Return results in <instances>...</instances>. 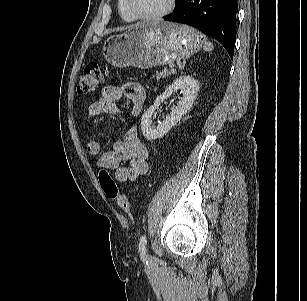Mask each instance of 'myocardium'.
<instances>
[{"instance_id":"obj_1","label":"myocardium","mask_w":307,"mask_h":301,"mask_svg":"<svg viewBox=\"0 0 307 301\" xmlns=\"http://www.w3.org/2000/svg\"><path fill=\"white\" fill-rule=\"evenodd\" d=\"M129 10L131 11L132 15L137 20L142 21H155L164 18L165 16L169 15L175 8L176 0H169L168 5L162 11L152 14V15H143L141 14L136 7L134 6L133 0H126Z\"/></svg>"}]
</instances>
